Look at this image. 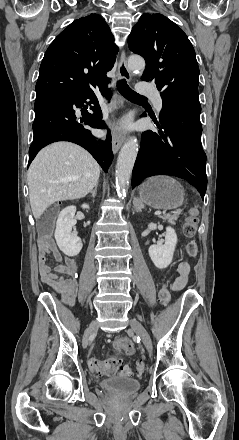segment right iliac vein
<instances>
[{
    "instance_id": "1",
    "label": "right iliac vein",
    "mask_w": 239,
    "mask_h": 440,
    "mask_svg": "<svg viewBox=\"0 0 239 440\" xmlns=\"http://www.w3.org/2000/svg\"><path fill=\"white\" fill-rule=\"evenodd\" d=\"M96 328V322H92L89 326V328L87 329V333H90L92 330H94Z\"/></svg>"
}]
</instances>
